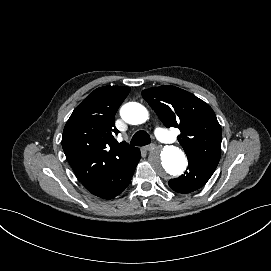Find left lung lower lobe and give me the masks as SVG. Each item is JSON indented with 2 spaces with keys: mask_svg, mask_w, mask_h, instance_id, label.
<instances>
[{
  "mask_svg": "<svg viewBox=\"0 0 271 271\" xmlns=\"http://www.w3.org/2000/svg\"><path fill=\"white\" fill-rule=\"evenodd\" d=\"M188 170L178 178L169 180L170 188L178 193L188 194L204 186L214 173L217 164L209 158L188 160Z\"/></svg>",
  "mask_w": 271,
  "mask_h": 271,
  "instance_id": "1",
  "label": "left lung lower lobe"
}]
</instances>
